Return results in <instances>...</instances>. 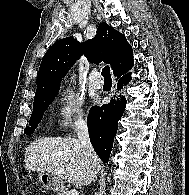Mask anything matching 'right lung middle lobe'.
I'll list each match as a JSON object with an SVG mask.
<instances>
[{
	"instance_id": "dd1d6c3e",
	"label": "right lung middle lobe",
	"mask_w": 189,
	"mask_h": 195,
	"mask_svg": "<svg viewBox=\"0 0 189 195\" xmlns=\"http://www.w3.org/2000/svg\"><path fill=\"white\" fill-rule=\"evenodd\" d=\"M56 95H53L47 99H44L42 101L33 104V112L29 121V126H27L24 130L26 134H32L34 132V129L40 123L44 112L46 111L48 106L52 103Z\"/></svg>"
}]
</instances>
